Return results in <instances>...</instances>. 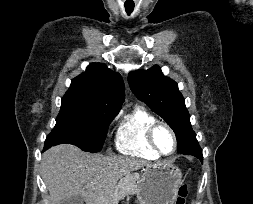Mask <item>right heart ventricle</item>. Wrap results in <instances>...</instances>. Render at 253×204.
Listing matches in <instances>:
<instances>
[{
	"label": "right heart ventricle",
	"instance_id": "e07e8e85",
	"mask_svg": "<svg viewBox=\"0 0 253 204\" xmlns=\"http://www.w3.org/2000/svg\"><path fill=\"white\" fill-rule=\"evenodd\" d=\"M155 120V117L147 110L135 107L118 127L117 149L126 155L157 160L160 156L150 147L147 141V129Z\"/></svg>",
	"mask_w": 253,
	"mask_h": 204
}]
</instances>
